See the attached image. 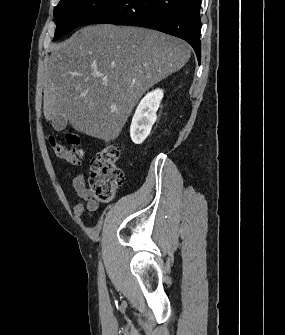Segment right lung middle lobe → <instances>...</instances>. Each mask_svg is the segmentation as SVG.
<instances>
[{"mask_svg":"<svg viewBox=\"0 0 285 335\" xmlns=\"http://www.w3.org/2000/svg\"><path fill=\"white\" fill-rule=\"evenodd\" d=\"M117 0H60L54 9L57 28L53 40H57L99 14Z\"/></svg>","mask_w":285,"mask_h":335,"instance_id":"right-lung-middle-lobe-1","label":"right lung middle lobe"}]
</instances>
